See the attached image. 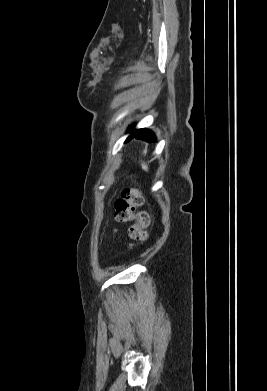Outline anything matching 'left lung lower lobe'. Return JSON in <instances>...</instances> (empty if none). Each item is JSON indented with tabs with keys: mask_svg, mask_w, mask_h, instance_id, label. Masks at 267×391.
I'll list each match as a JSON object with an SVG mask.
<instances>
[{
	"mask_svg": "<svg viewBox=\"0 0 267 391\" xmlns=\"http://www.w3.org/2000/svg\"><path fill=\"white\" fill-rule=\"evenodd\" d=\"M132 129V127H131ZM136 137L138 139H143L147 142H153L155 141L154 134L147 129H137L135 132L131 133V135L127 138L126 142L129 141L131 138Z\"/></svg>",
	"mask_w": 267,
	"mask_h": 391,
	"instance_id": "left-lung-lower-lobe-1",
	"label": "left lung lower lobe"
}]
</instances>
